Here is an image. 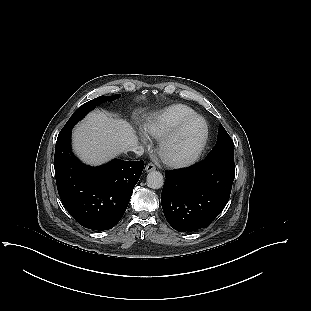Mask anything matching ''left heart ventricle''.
I'll list each match as a JSON object with an SVG mask.
<instances>
[{
  "instance_id": "left-heart-ventricle-1",
  "label": "left heart ventricle",
  "mask_w": 311,
  "mask_h": 311,
  "mask_svg": "<svg viewBox=\"0 0 311 311\" xmlns=\"http://www.w3.org/2000/svg\"><path fill=\"white\" fill-rule=\"evenodd\" d=\"M203 126L200 120L190 123L168 148L171 156L182 157L189 155L198 145Z\"/></svg>"
}]
</instances>
